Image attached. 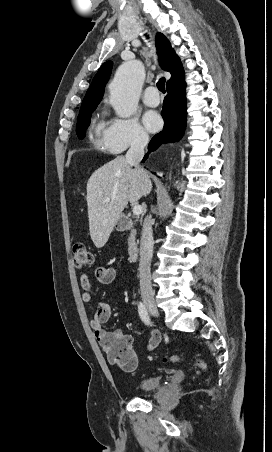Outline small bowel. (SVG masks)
Listing matches in <instances>:
<instances>
[{"instance_id":"c3829d8e","label":"small bowel","mask_w":272,"mask_h":452,"mask_svg":"<svg viewBox=\"0 0 272 452\" xmlns=\"http://www.w3.org/2000/svg\"><path fill=\"white\" fill-rule=\"evenodd\" d=\"M95 277L103 284H110L116 278V270L113 267L99 266L95 270ZM80 283L82 286V300L85 303L93 301V287L86 273L80 275ZM113 308L110 303L101 302L98 304L94 317L90 320V327L94 331L96 340L100 347L107 351L109 345L117 338L126 337L131 343V337L125 335L121 330L106 331L103 324L112 318ZM161 342V334L158 330H150V338L147 344V350L153 351ZM135 369V368H134ZM133 369V370H134Z\"/></svg>"}]
</instances>
